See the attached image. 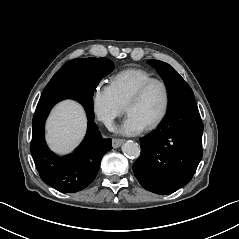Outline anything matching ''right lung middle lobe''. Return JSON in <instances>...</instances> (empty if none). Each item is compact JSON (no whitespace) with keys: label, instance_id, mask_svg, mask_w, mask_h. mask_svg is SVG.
<instances>
[{"label":"right lung middle lobe","instance_id":"dd1d6c3e","mask_svg":"<svg viewBox=\"0 0 239 239\" xmlns=\"http://www.w3.org/2000/svg\"><path fill=\"white\" fill-rule=\"evenodd\" d=\"M114 68V64L107 58H83L73 59L67 62L50 80L45 87L41 98L66 92L70 89L84 88L81 82L90 73L92 77L99 79L108 75Z\"/></svg>","mask_w":239,"mask_h":239}]
</instances>
